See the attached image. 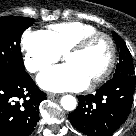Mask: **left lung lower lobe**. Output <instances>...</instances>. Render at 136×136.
I'll return each mask as SVG.
<instances>
[{
    "label": "left lung lower lobe",
    "instance_id": "1",
    "mask_svg": "<svg viewBox=\"0 0 136 136\" xmlns=\"http://www.w3.org/2000/svg\"><path fill=\"white\" fill-rule=\"evenodd\" d=\"M135 75L113 77L96 94L78 96L77 109L69 114L72 125L88 136H109L129 115Z\"/></svg>",
    "mask_w": 136,
    "mask_h": 136
}]
</instances>
